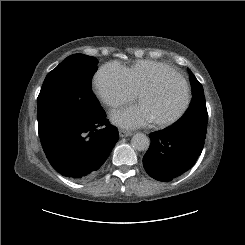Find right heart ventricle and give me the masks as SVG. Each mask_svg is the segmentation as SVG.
Wrapping results in <instances>:
<instances>
[{"mask_svg":"<svg viewBox=\"0 0 245 245\" xmlns=\"http://www.w3.org/2000/svg\"><path fill=\"white\" fill-rule=\"evenodd\" d=\"M171 67L161 63L150 60H140L131 67L126 68L129 79L138 94L144 87L152 84L157 75Z\"/></svg>","mask_w":245,"mask_h":245,"instance_id":"right-heart-ventricle-1","label":"right heart ventricle"}]
</instances>
